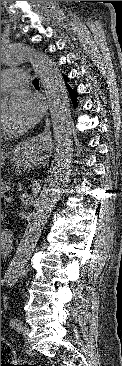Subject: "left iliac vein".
<instances>
[{"label": "left iliac vein", "instance_id": "left-iliac-vein-1", "mask_svg": "<svg viewBox=\"0 0 122 366\" xmlns=\"http://www.w3.org/2000/svg\"><path fill=\"white\" fill-rule=\"evenodd\" d=\"M20 331L22 332V334L24 335V338H25V340H26V343L28 344L29 342H30V340H29V334L31 333V330H30V328L29 327H27V326H23V327H21V329H20Z\"/></svg>", "mask_w": 122, "mask_h": 366}]
</instances>
